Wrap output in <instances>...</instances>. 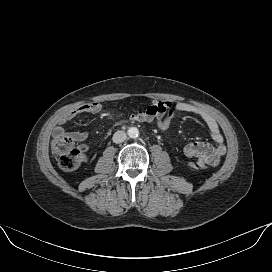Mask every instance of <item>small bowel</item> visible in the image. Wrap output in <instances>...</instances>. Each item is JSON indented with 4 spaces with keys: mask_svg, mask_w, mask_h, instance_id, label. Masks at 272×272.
<instances>
[{
    "mask_svg": "<svg viewBox=\"0 0 272 272\" xmlns=\"http://www.w3.org/2000/svg\"><path fill=\"white\" fill-rule=\"evenodd\" d=\"M174 107L178 112L191 113L202 119L208 128L214 145L204 142H191L184 147V154L189 158H195L204 164L215 167L219 164L220 159L226 153V145L224 137L216 120L207 112L187 102H171V101H154L146 107L140 109L137 113L129 116L131 121L152 123L150 117L154 113H164L167 109ZM103 109L99 102L86 103L69 113H67L56 125L54 135H64L65 124L82 114H96ZM69 136L77 142H84L88 138L86 132H72Z\"/></svg>",
    "mask_w": 272,
    "mask_h": 272,
    "instance_id": "1",
    "label": "small bowel"
}]
</instances>
